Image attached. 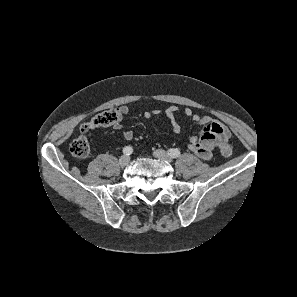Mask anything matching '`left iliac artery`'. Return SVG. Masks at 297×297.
<instances>
[{
    "label": "left iliac artery",
    "instance_id": "obj_1",
    "mask_svg": "<svg viewBox=\"0 0 297 297\" xmlns=\"http://www.w3.org/2000/svg\"><path fill=\"white\" fill-rule=\"evenodd\" d=\"M168 154L172 157V158H177L181 155L180 151L178 149H169L168 150Z\"/></svg>",
    "mask_w": 297,
    "mask_h": 297
}]
</instances>
